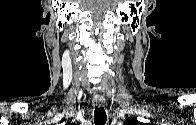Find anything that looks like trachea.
Listing matches in <instances>:
<instances>
[{
	"mask_svg": "<svg viewBox=\"0 0 196 125\" xmlns=\"http://www.w3.org/2000/svg\"><path fill=\"white\" fill-rule=\"evenodd\" d=\"M107 121V115L102 107L96 108L94 111V123L95 125H105Z\"/></svg>",
	"mask_w": 196,
	"mask_h": 125,
	"instance_id": "1",
	"label": "trachea"
}]
</instances>
